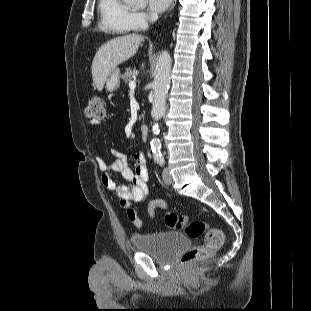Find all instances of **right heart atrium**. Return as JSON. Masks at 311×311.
Segmentation results:
<instances>
[{
  "mask_svg": "<svg viewBox=\"0 0 311 311\" xmlns=\"http://www.w3.org/2000/svg\"><path fill=\"white\" fill-rule=\"evenodd\" d=\"M151 16L142 11H136L132 13V22L137 30H141L146 27Z\"/></svg>",
  "mask_w": 311,
  "mask_h": 311,
  "instance_id": "right-heart-atrium-1",
  "label": "right heart atrium"
}]
</instances>
